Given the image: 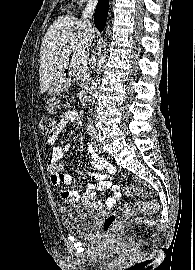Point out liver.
Returning a JSON list of instances; mask_svg holds the SVG:
<instances>
[{"label": "liver", "mask_w": 195, "mask_h": 270, "mask_svg": "<svg viewBox=\"0 0 195 270\" xmlns=\"http://www.w3.org/2000/svg\"><path fill=\"white\" fill-rule=\"evenodd\" d=\"M95 36L94 27L65 15L48 28L40 50V91L45 93L64 72L71 53L88 48Z\"/></svg>", "instance_id": "6515ba94"}]
</instances>
